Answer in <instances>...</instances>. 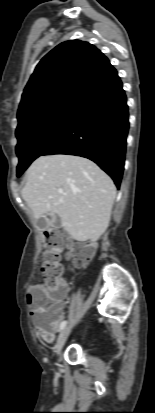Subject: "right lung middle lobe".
Here are the masks:
<instances>
[{"label": "right lung middle lobe", "mask_w": 155, "mask_h": 413, "mask_svg": "<svg viewBox=\"0 0 155 413\" xmlns=\"http://www.w3.org/2000/svg\"><path fill=\"white\" fill-rule=\"evenodd\" d=\"M78 104H64L45 112L16 129L19 177L61 135Z\"/></svg>", "instance_id": "1"}]
</instances>
